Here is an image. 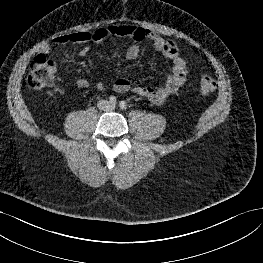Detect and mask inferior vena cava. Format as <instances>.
I'll list each match as a JSON object with an SVG mask.
<instances>
[{"label": "inferior vena cava", "mask_w": 263, "mask_h": 263, "mask_svg": "<svg viewBox=\"0 0 263 263\" xmlns=\"http://www.w3.org/2000/svg\"><path fill=\"white\" fill-rule=\"evenodd\" d=\"M97 106H98V108L100 110H108V109H110V105H109L108 101H106V100H100L98 102Z\"/></svg>", "instance_id": "inferior-vena-cava-1"}]
</instances>
